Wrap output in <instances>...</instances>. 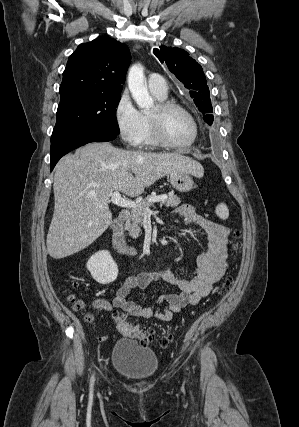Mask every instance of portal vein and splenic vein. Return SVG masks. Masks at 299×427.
<instances>
[{"instance_id":"1","label":"portal vein and splenic vein","mask_w":299,"mask_h":427,"mask_svg":"<svg viewBox=\"0 0 299 427\" xmlns=\"http://www.w3.org/2000/svg\"><path fill=\"white\" fill-rule=\"evenodd\" d=\"M167 198L166 195L156 196L150 199L151 202H160ZM111 202L114 205H117L122 208H137L139 204L130 199H125L121 197L119 191H115L111 194ZM151 210L149 208L145 209V213L151 214Z\"/></svg>"}]
</instances>
